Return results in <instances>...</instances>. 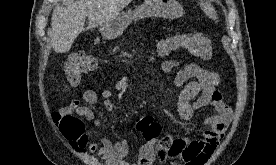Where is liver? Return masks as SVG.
Instances as JSON below:
<instances>
[{
	"label": "liver",
	"instance_id": "6515ba94",
	"mask_svg": "<svg viewBox=\"0 0 276 165\" xmlns=\"http://www.w3.org/2000/svg\"><path fill=\"white\" fill-rule=\"evenodd\" d=\"M132 0H69L66 7L57 5L51 18L50 42L56 53L70 50L77 36L87 29L103 26L131 3Z\"/></svg>",
	"mask_w": 276,
	"mask_h": 165
}]
</instances>
